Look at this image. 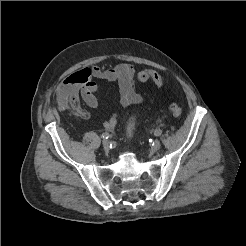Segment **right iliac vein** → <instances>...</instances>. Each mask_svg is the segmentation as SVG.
<instances>
[{"mask_svg":"<svg viewBox=\"0 0 246 246\" xmlns=\"http://www.w3.org/2000/svg\"><path fill=\"white\" fill-rule=\"evenodd\" d=\"M109 144H110V142L108 140H105V139L102 142L103 148L105 150H108L109 149Z\"/></svg>","mask_w":246,"mask_h":246,"instance_id":"right-iliac-vein-1","label":"right iliac vein"}]
</instances>
